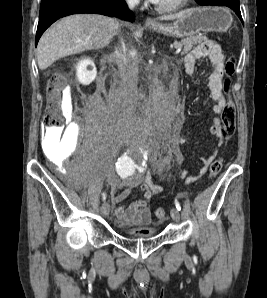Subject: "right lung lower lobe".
I'll use <instances>...</instances> for the list:
<instances>
[{
  "mask_svg": "<svg viewBox=\"0 0 267 298\" xmlns=\"http://www.w3.org/2000/svg\"><path fill=\"white\" fill-rule=\"evenodd\" d=\"M79 13H96L134 20L133 13L124 0H41L36 45L42 33L57 19Z\"/></svg>",
  "mask_w": 267,
  "mask_h": 298,
  "instance_id": "right-lung-lower-lobe-1",
  "label": "right lung lower lobe"
}]
</instances>
